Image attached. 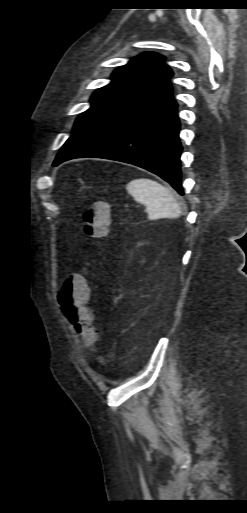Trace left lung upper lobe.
Returning a JSON list of instances; mask_svg holds the SVG:
<instances>
[{
    "mask_svg": "<svg viewBox=\"0 0 247 513\" xmlns=\"http://www.w3.org/2000/svg\"><path fill=\"white\" fill-rule=\"evenodd\" d=\"M172 70L157 53H143L112 74V82L91 97L92 106L77 118L76 132L90 122L153 91L169 81Z\"/></svg>",
    "mask_w": 247,
    "mask_h": 513,
    "instance_id": "5c2ea615",
    "label": "left lung upper lobe"
}]
</instances>
